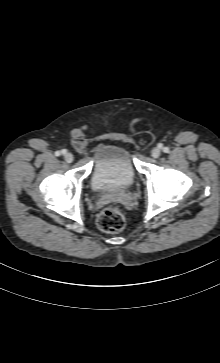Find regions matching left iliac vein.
<instances>
[{"instance_id": "left-iliac-vein-1", "label": "left iliac vein", "mask_w": 220, "mask_h": 363, "mask_svg": "<svg viewBox=\"0 0 220 363\" xmlns=\"http://www.w3.org/2000/svg\"><path fill=\"white\" fill-rule=\"evenodd\" d=\"M160 154H161V149L159 147H155L151 151V155L154 158H158L160 156Z\"/></svg>"}]
</instances>
